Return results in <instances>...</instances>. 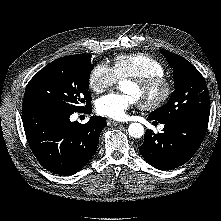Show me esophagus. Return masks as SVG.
<instances>
[{"instance_id": "obj_1", "label": "esophagus", "mask_w": 221, "mask_h": 221, "mask_svg": "<svg viewBox=\"0 0 221 221\" xmlns=\"http://www.w3.org/2000/svg\"><path fill=\"white\" fill-rule=\"evenodd\" d=\"M108 124L118 126V125H123L124 122H117V121H114V120H108Z\"/></svg>"}]
</instances>
